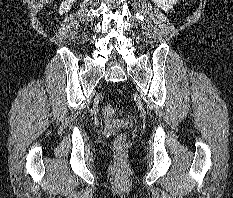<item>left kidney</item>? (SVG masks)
<instances>
[{
  "label": "left kidney",
  "mask_w": 233,
  "mask_h": 198,
  "mask_svg": "<svg viewBox=\"0 0 233 198\" xmlns=\"http://www.w3.org/2000/svg\"><path fill=\"white\" fill-rule=\"evenodd\" d=\"M158 7L164 11L172 9L178 0H152Z\"/></svg>",
  "instance_id": "left-kidney-1"
}]
</instances>
